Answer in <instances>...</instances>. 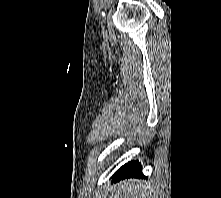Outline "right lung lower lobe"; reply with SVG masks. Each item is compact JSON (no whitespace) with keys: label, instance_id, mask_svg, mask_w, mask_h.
Listing matches in <instances>:
<instances>
[{"label":"right lung lower lobe","instance_id":"obj_1","mask_svg":"<svg viewBox=\"0 0 221 198\" xmlns=\"http://www.w3.org/2000/svg\"><path fill=\"white\" fill-rule=\"evenodd\" d=\"M127 177H144L141 172V165L138 161L125 164L112 176L114 182Z\"/></svg>","mask_w":221,"mask_h":198}]
</instances>
